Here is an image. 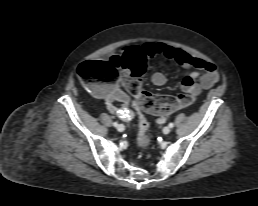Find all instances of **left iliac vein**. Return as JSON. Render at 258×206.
Returning <instances> with one entry per match:
<instances>
[{"label":"left iliac vein","mask_w":258,"mask_h":206,"mask_svg":"<svg viewBox=\"0 0 258 206\" xmlns=\"http://www.w3.org/2000/svg\"><path fill=\"white\" fill-rule=\"evenodd\" d=\"M163 133L164 134H169L170 133V128L168 126L163 128Z\"/></svg>","instance_id":"left-iliac-vein-1"}]
</instances>
